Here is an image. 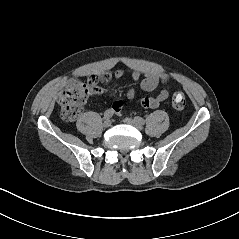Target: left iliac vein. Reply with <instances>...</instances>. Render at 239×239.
Wrapping results in <instances>:
<instances>
[{"mask_svg":"<svg viewBox=\"0 0 239 239\" xmlns=\"http://www.w3.org/2000/svg\"><path fill=\"white\" fill-rule=\"evenodd\" d=\"M123 122H125L126 124L132 125L135 128L142 130V124L138 123L136 120L131 119V118H125L123 119Z\"/></svg>","mask_w":239,"mask_h":239,"instance_id":"left-iliac-vein-1","label":"left iliac vein"}]
</instances>
